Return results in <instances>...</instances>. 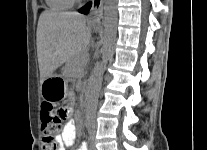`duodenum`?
I'll use <instances>...</instances> for the list:
<instances>
[{
	"label": "duodenum",
	"instance_id": "410a0bca",
	"mask_svg": "<svg viewBox=\"0 0 207 150\" xmlns=\"http://www.w3.org/2000/svg\"><path fill=\"white\" fill-rule=\"evenodd\" d=\"M92 92H93V84L90 83V85L87 87V90H86V99H87V101H90V99L92 97Z\"/></svg>",
	"mask_w": 207,
	"mask_h": 150
}]
</instances>
